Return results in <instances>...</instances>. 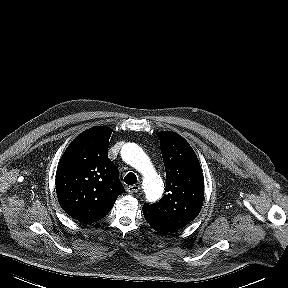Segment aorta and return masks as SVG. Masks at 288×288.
<instances>
[{
	"instance_id": "762f6f07",
	"label": "aorta",
	"mask_w": 288,
	"mask_h": 288,
	"mask_svg": "<svg viewBox=\"0 0 288 288\" xmlns=\"http://www.w3.org/2000/svg\"><path fill=\"white\" fill-rule=\"evenodd\" d=\"M121 156L127 164L136 168L143 175L146 199L150 202L158 200L163 194L164 183L142 148L135 143H127L121 149Z\"/></svg>"
}]
</instances>
